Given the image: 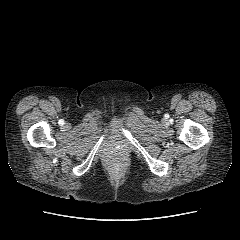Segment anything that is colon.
Instances as JSON below:
<instances>
[{
  "label": "colon",
  "mask_w": 240,
  "mask_h": 240,
  "mask_svg": "<svg viewBox=\"0 0 240 240\" xmlns=\"http://www.w3.org/2000/svg\"><path fill=\"white\" fill-rule=\"evenodd\" d=\"M110 165L113 168H120L125 165V160L123 157H116L115 159H113V161H111Z\"/></svg>",
  "instance_id": "obj_1"
}]
</instances>
